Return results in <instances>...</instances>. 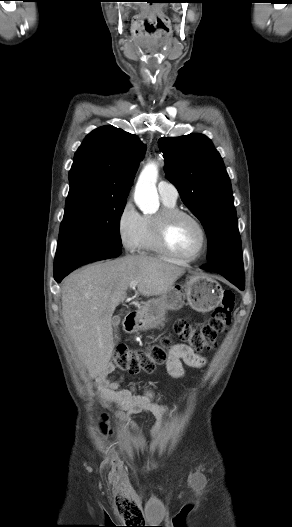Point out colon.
<instances>
[{"instance_id":"obj_1","label":"colon","mask_w":292,"mask_h":527,"mask_svg":"<svg viewBox=\"0 0 292 527\" xmlns=\"http://www.w3.org/2000/svg\"><path fill=\"white\" fill-rule=\"evenodd\" d=\"M234 306V293L231 290H224L220 304L213 310L207 323L191 324L186 320H179L174 325V333L195 352L211 350L215 347L218 336L227 331ZM169 346L170 339L167 337L158 344L144 349L120 346L115 352L113 364L130 374L152 372L165 361L166 349ZM133 507L136 512H140L138 506Z\"/></svg>"}]
</instances>
